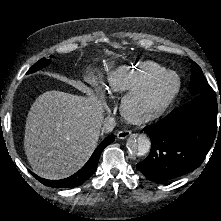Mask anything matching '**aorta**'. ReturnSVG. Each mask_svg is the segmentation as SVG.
<instances>
[{"label":"aorta","mask_w":221,"mask_h":221,"mask_svg":"<svg viewBox=\"0 0 221 221\" xmlns=\"http://www.w3.org/2000/svg\"><path fill=\"white\" fill-rule=\"evenodd\" d=\"M128 151L134 156H143L150 150L151 142L145 134H133L127 139Z\"/></svg>","instance_id":"1"}]
</instances>
